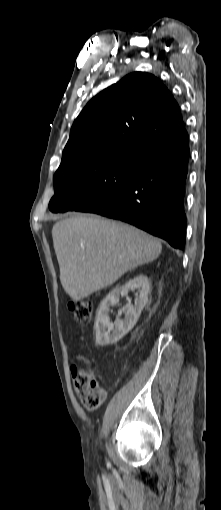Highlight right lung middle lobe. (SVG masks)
I'll list each match as a JSON object with an SVG mask.
<instances>
[{
  "label": "right lung middle lobe",
  "mask_w": 221,
  "mask_h": 510,
  "mask_svg": "<svg viewBox=\"0 0 221 510\" xmlns=\"http://www.w3.org/2000/svg\"><path fill=\"white\" fill-rule=\"evenodd\" d=\"M149 150L123 147L82 154L61 162L53 181L52 212L81 210L108 201L122 191Z\"/></svg>",
  "instance_id": "right-lung-middle-lobe-1"
}]
</instances>
